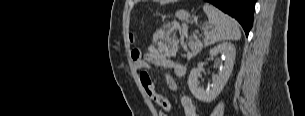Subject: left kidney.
Here are the masks:
<instances>
[{"instance_id":"obj_1","label":"left kidney","mask_w":305,"mask_h":116,"mask_svg":"<svg viewBox=\"0 0 305 116\" xmlns=\"http://www.w3.org/2000/svg\"><path fill=\"white\" fill-rule=\"evenodd\" d=\"M209 54L211 59L218 54H221L222 57H224V65L221 67L219 73L217 75H212L213 83L211 88L204 89L199 86L198 77L201 73L200 68L192 69L188 78V86L192 95L196 99L206 103L213 101L226 85L233 70L236 49L232 43L224 42L212 48Z\"/></svg>"}]
</instances>
